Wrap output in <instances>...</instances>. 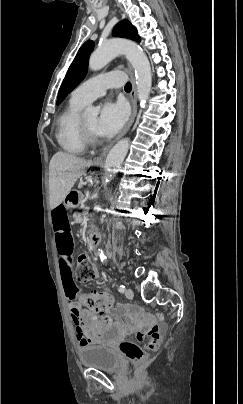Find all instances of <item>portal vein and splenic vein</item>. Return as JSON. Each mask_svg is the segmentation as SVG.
Returning <instances> with one entry per match:
<instances>
[{
    "label": "portal vein and splenic vein",
    "instance_id": "18ae733b",
    "mask_svg": "<svg viewBox=\"0 0 243 404\" xmlns=\"http://www.w3.org/2000/svg\"><path fill=\"white\" fill-rule=\"evenodd\" d=\"M88 213H89V208H85V210L81 212V215L82 216H87Z\"/></svg>",
    "mask_w": 243,
    "mask_h": 404
}]
</instances>
